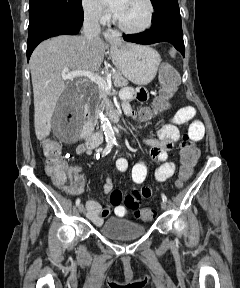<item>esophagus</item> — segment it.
I'll return each instance as SVG.
<instances>
[{"instance_id":"1","label":"esophagus","mask_w":240,"mask_h":288,"mask_svg":"<svg viewBox=\"0 0 240 288\" xmlns=\"http://www.w3.org/2000/svg\"><path fill=\"white\" fill-rule=\"evenodd\" d=\"M104 36L109 42H115L119 39V33L115 30H112V29H108L104 33Z\"/></svg>"}]
</instances>
